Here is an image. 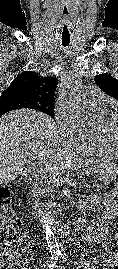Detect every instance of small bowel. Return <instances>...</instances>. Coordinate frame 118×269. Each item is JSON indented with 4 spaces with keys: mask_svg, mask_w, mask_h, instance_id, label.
<instances>
[{
    "mask_svg": "<svg viewBox=\"0 0 118 269\" xmlns=\"http://www.w3.org/2000/svg\"><path fill=\"white\" fill-rule=\"evenodd\" d=\"M104 206L105 210L103 214L97 218L93 227L87 230L81 237V242L89 247L100 245L102 247V260L104 264L114 267V265L118 266V252L106 244V239L109 222L115 217H118V203L116 198H108L105 200ZM115 242L118 245V232L115 234ZM92 262L89 261L87 265H91Z\"/></svg>",
    "mask_w": 118,
    "mask_h": 269,
    "instance_id": "1",
    "label": "small bowel"
}]
</instances>
